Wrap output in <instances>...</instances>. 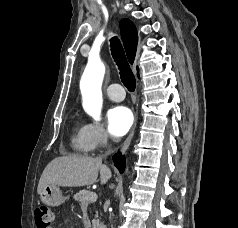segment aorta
Masks as SVG:
<instances>
[{
	"mask_svg": "<svg viewBox=\"0 0 238 228\" xmlns=\"http://www.w3.org/2000/svg\"><path fill=\"white\" fill-rule=\"evenodd\" d=\"M104 74L105 66L101 61L89 60L80 81L83 108L95 121L101 120Z\"/></svg>",
	"mask_w": 238,
	"mask_h": 228,
	"instance_id": "1",
	"label": "aorta"
}]
</instances>
